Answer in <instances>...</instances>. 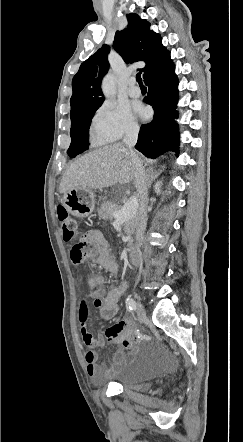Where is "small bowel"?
Listing matches in <instances>:
<instances>
[{
	"label": "small bowel",
	"instance_id": "1",
	"mask_svg": "<svg viewBox=\"0 0 243 442\" xmlns=\"http://www.w3.org/2000/svg\"><path fill=\"white\" fill-rule=\"evenodd\" d=\"M85 249L81 261L72 260L74 264H80L87 260L92 261L111 273H117L119 264L111 252L110 244L104 234L98 229L88 230L84 236ZM91 285H96L94 278H89ZM103 279L99 278L100 286L92 292L93 300L91 305L99 309L100 318L110 320L117 316L119 311V300L124 288L118 287L106 290L102 284ZM91 305L85 300H81L78 306V322L82 341L88 349L84 352V361L87 374L96 383L103 382L112 377L116 368L124 359V350L133 351L137 342L134 336L133 322L130 318L117 321L108 327L103 334L93 335L87 329V322L90 315ZM105 342L115 345L118 350L114 353L109 365L100 363L96 349L104 346Z\"/></svg>",
	"mask_w": 243,
	"mask_h": 442
}]
</instances>
